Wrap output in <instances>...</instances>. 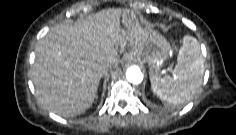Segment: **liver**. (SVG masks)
<instances>
[{"label": "liver", "mask_w": 236, "mask_h": 135, "mask_svg": "<svg viewBox=\"0 0 236 135\" xmlns=\"http://www.w3.org/2000/svg\"><path fill=\"white\" fill-rule=\"evenodd\" d=\"M128 9L110 8L71 24L52 27L39 40L31 77L39 103L64 117L85 112L100 79L119 63L117 49L138 50L145 31ZM121 19L124 29L121 26Z\"/></svg>", "instance_id": "1"}]
</instances>
